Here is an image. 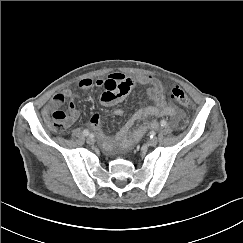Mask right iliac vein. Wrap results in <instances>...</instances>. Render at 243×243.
<instances>
[{"instance_id": "1", "label": "right iliac vein", "mask_w": 243, "mask_h": 243, "mask_svg": "<svg viewBox=\"0 0 243 243\" xmlns=\"http://www.w3.org/2000/svg\"><path fill=\"white\" fill-rule=\"evenodd\" d=\"M86 141L88 144H94V142H95L93 137H88Z\"/></svg>"}]
</instances>
